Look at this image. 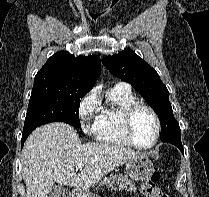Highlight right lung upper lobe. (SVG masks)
<instances>
[{"label":"right lung upper lobe","mask_w":209,"mask_h":197,"mask_svg":"<svg viewBox=\"0 0 209 197\" xmlns=\"http://www.w3.org/2000/svg\"><path fill=\"white\" fill-rule=\"evenodd\" d=\"M101 73V61L96 55L78 56L60 51L51 56L36 74L34 82L78 84L93 88Z\"/></svg>","instance_id":"right-lung-upper-lobe-1"}]
</instances>
